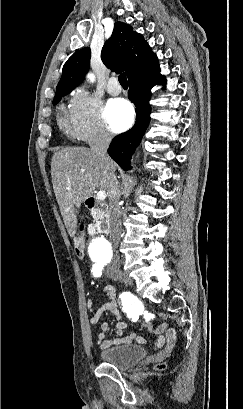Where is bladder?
Returning a JSON list of instances; mask_svg holds the SVG:
<instances>
[{
    "label": "bladder",
    "mask_w": 243,
    "mask_h": 409,
    "mask_svg": "<svg viewBox=\"0 0 243 409\" xmlns=\"http://www.w3.org/2000/svg\"><path fill=\"white\" fill-rule=\"evenodd\" d=\"M147 356L143 347L134 344H124L105 348L100 351L101 360L120 370H126Z\"/></svg>",
    "instance_id": "1"
}]
</instances>
